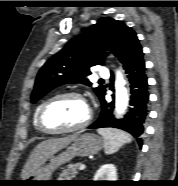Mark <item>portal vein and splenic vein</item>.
Wrapping results in <instances>:
<instances>
[{
    "mask_svg": "<svg viewBox=\"0 0 178 186\" xmlns=\"http://www.w3.org/2000/svg\"><path fill=\"white\" fill-rule=\"evenodd\" d=\"M85 164H81L80 166H79V170H84L85 169Z\"/></svg>",
    "mask_w": 178,
    "mask_h": 186,
    "instance_id": "18ae733b",
    "label": "portal vein and splenic vein"
}]
</instances>
